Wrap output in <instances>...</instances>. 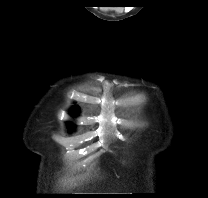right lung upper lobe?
<instances>
[{
	"mask_svg": "<svg viewBox=\"0 0 208 198\" xmlns=\"http://www.w3.org/2000/svg\"><path fill=\"white\" fill-rule=\"evenodd\" d=\"M71 113L73 115H76L78 113V107L73 108L72 111H71Z\"/></svg>",
	"mask_w": 208,
	"mask_h": 198,
	"instance_id": "cb5924a9",
	"label": "right lung upper lobe"
}]
</instances>
